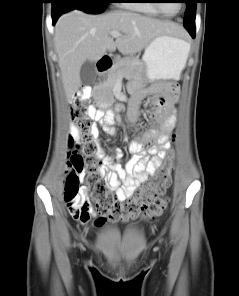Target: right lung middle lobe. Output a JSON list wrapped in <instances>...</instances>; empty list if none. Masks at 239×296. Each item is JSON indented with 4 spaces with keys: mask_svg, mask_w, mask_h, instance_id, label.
I'll return each instance as SVG.
<instances>
[{
    "mask_svg": "<svg viewBox=\"0 0 239 296\" xmlns=\"http://www.w3.org/2000/svg\"><path fill=\"white\" fill-rule=\"evenodd\" d=\"M60 2L59 9L67 12L73 9H79L88 13L98 14L105 11L107 4L111 0H52L53 6Z\"/></svg>",
    "mask_w": 239,
    "mask_h": 296,
    "instance_id": "dd1d6c3e",
    "label": "right lung middle lobe"
}]
</instances>
